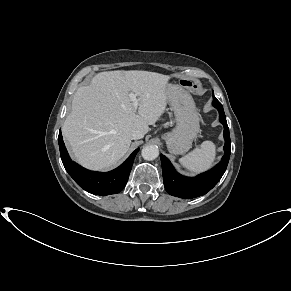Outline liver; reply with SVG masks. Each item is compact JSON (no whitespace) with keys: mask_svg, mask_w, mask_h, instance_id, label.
Masks as SVG:
<instances>
[{"mask_svg":"<svg viewBox=\"0 0 291 291\" xmlns=\"http://www.w3.org/2000/svg\"><path fill=\"white\" fill-rule=\"evenodd\" d=\"M168 76L148 71H108L77 89L62 134L84 167L103 170L127 153L134 130L148 133L167 105ZM138 97V114L129 98Z\"/></svg>","mask_w":291,"mask_h":291,"instance_id":"liver-1","label":"liver"}]
</instances>
